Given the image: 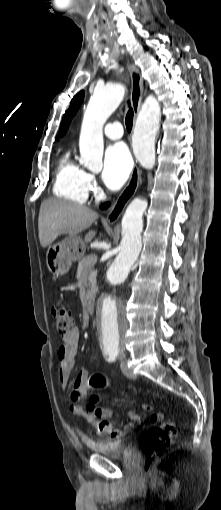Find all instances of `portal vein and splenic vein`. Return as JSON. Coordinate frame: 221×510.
I'll return each mask as SVG.
<instances>
[{
	"label": "portal vein and splenic vein",
	"instance_id": "18ae733b",
	"mask_svg": "<svg viewBox=\"0 0 221 510\" xmlns=\"http://www.w3.org/2000/svg\"><path fill=\"white\" fill-rule=\"evenodd\" d=\"M96 260H97V256H96V255H92V257H91V261H94V262H95Z\"/></svg>",
	"mask_w": 221,
	"mask_h": 510
}]
</instances>
